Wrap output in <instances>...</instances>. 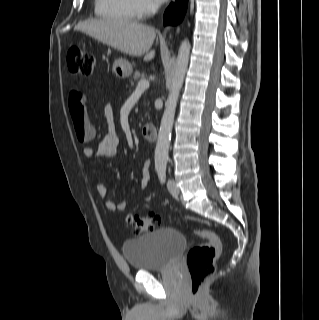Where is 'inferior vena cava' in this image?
Wrapping results in <instances>:
<instances>
[{
    "label": "inferior vena cava",
    "instance_id": "602c4592",
    "mask_svg": "<svg viewBox=\"0 0 319 320\" xmlns=\"http://www.w3.org/2000/svg\"><path fill=\"white\" fill-rule=\"evenodd\" d=\"M157 8H158V5H157L156 3H154V4L152 5V11H153V13L157 10Z\"/></svg>",
    "mask_w": 319,
    "mask_h": 320
}]
</instances>
